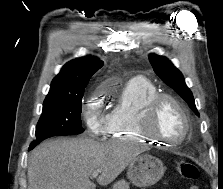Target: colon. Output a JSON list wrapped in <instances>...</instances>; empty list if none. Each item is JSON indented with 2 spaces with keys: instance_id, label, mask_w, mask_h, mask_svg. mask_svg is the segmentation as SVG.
Instances as JSON below:
<instances>
[{
  "instance_id": "colon-1",
  "label": "colon",
  "mask_w": 223,
  "mask_h": 189,
  "mask_svg": "<svg viewBox=\"0 0 223 189\" xmlns=\"http://www.w3.org/2000/svg\"><path fill=\"white\" fill-rule=\"evenodd\" d=\"M178 171L182 177L193 182L199 177L197 166L191 162H180L178 164ZM189 189H199V187L196 184H192Z\"/></svg>"
}]
</instances>
